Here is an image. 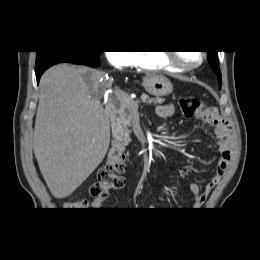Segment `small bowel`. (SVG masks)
<instances>
[{"label":"small bowel","instance_id":"small-bowel-1","mask_svg":"<svg viewBox=\"0 0 260 260\" xmlns=\"http://www.w3.org/2000/svg\"><path fill=\"white\" fill-rule=\"evenodd\" d=\"M156 113L159 117L168 119L174 114V107L172 104L159 105L156 108ZM204 122L208 123L214 128L216 142L220 154L219 161L215 167L214 175L202 190L198 184L191 183L189 188L193 194L192 208H200L206 201L209 193L216 187L229 166L231 158V128L228 123L217 113V111H207L202 117ZM106 197L94 198L91 207L94 210H100L106 200Z\"/></svg>","mask_w":260,"mask_h":260}]
</instances>
